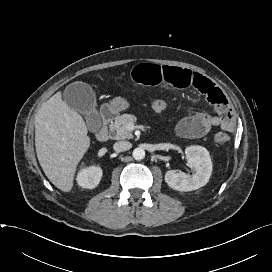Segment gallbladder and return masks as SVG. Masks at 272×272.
Here are the masks:
<instances>
[{"instance_id": "bac80fb5", "label": "gallbladder", "mask_w": 272, "mask_h": 272, "mask_svg": "<svg viewBox=\"0 0 272 272\" xmlns=\"http://www.w3.org/2000/svg\"><path fill=\"white\" fill-rule=\"evenodd\" d=\"M63 98L71 109L85 116L90 131H99L101 120L96 109V95L88 84L83 82L69 84L63 92Z\"/></svg>"}]
</instances>
